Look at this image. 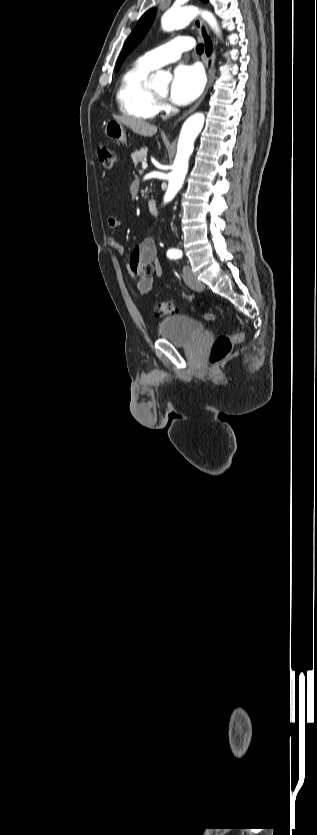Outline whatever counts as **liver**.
Segmentation results:
<instances>
[{"instance_id": "obj_1", "label": "liver", "mask_w": 317, "mask_h": 835, "mask_svg": "<svg viewBox=\"0 0 317 835\" xmlns=\"http://www.w3.org/2000/svg\"><path fill=\"white\" fill-rule=\"evenodd\" d=\"M115 119L128 126L134 133L140 136L150 137L157 133V127L146 121L124 117H116Z\"/></svg>"}]
</instances>
